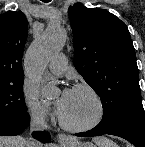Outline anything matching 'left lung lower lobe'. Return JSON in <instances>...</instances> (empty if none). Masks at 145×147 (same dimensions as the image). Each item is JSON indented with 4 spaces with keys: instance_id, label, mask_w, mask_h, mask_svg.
Masks as SVG:
<instances>
[{
    "instance_id": "left-lung-lower-lobe-1",
    "label": "left lung lower lobe",
    "mask_w": 145,
    "mask_h": 147,
    "mask_svg": "<svg viewBox=\"0 0 145 147\" xmlns=\"http://www.w3.org/2000/svg\"><path fill=\"white\" fill-rule=\"evenodd\" d=\"M110 134L122 137L135 147H145V118H138L117 124L109 129L93 128L87 132L77 133L76 136L90 137Z\"/></svg>"
}]
</instances>
